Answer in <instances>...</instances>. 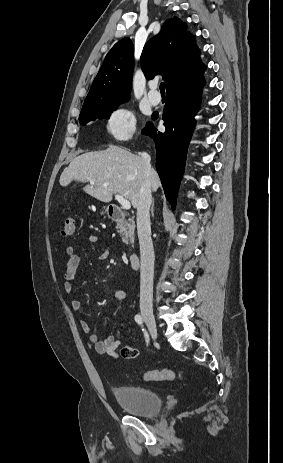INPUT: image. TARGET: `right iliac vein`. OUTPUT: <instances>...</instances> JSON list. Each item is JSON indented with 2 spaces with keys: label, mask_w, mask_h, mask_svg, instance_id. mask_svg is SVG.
Instances as JSON below:
<instances>
[{
  "label": "right iliac vein",
  "mask_w": 283,
  "mask_h": 463,
  "mask_svg": "<svg viewBox=\"0 0 283 463\" xmlns=\"http://www.w3.org/2000/svg\"><path fill=\"white\" fill-rule=\"evenodd\" d=\"M142 317L147 324V327L150 331L151 336L156 339L157 337V326H156V321L154 318V315L151 311L149 310H143L142 311Z\"/></svg>",
  "instance_id": "63e3f726"
}]
</instances>
